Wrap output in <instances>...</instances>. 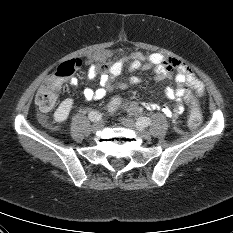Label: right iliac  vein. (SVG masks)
<instances>
[{"mask_svg":"<svg viewBox=\"0 0 233 233\" xmlns=\"http://www.w3.org/2000/svg\"><path fill=\"white\" fill-rule=\"evenodd\" d=\"M102 127H103V123H102V121H95L94 123H93V125H92V130L93 131H98V130H100V129H102Z\"/></svg>","mask_w":233,"mask_h":233,"instance_id":"obj_1","label":"right iliac vein"}]
</instances>
